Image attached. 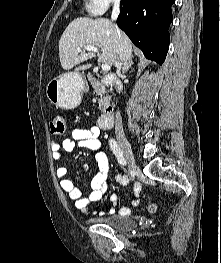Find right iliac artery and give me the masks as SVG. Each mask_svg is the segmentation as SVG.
I'll return each mask as SVG.
<instances>
[{
	"mask_svg": "<svg viewBox=\"0 0 221 263\" xmlns=\"http://www.w3.org/2000/svg\"><path fill=\"white\" fill-rule=\"evenodd\" d=\"M110 144V148L113 151V153L115 154L118 162L122 165V166H126V160L123 156V152L121 151L120 147L118 146L117 142L114 139H110L109 141Z\"/></svg>",
	"mask_w": 221,
	"mask_h": 263,
	"instance_id": "right-iliac-artery-1",
	"label": "right iliac artery"
}]
</instances>
